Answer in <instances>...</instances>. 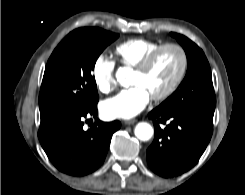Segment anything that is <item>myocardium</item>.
Here are the masks:
<instances>
[{
    "mask_svg": "<svg viewBox=\"0 0 245 195\" xmlns=\"http://www.w3.org/2000/svg\"><path fill=\"white\" fill-rule=\"evenodd\" d=\"M175 49L178 51L179 55H180V68L179 71L175 77V79L173 80V82L170 84V86L165 89L163 92L156 94L154 96H152L151 98L155 101H162L167 99L168 97H170L176 90L177 88L180 86L186 70H187V64H188V58H187V54L185 49L176 43H166V44H162L159 47H157L156 49H154L152 52H150L135 68L134 71L139 72V73H143L146 72L150 66L153 64V62L155 61V59L157 58V56L165 49Z\"/></svg>",
    "mask_w": 245,
    "mask_h": 195,
    "instance_id": "obj_1",
    "label": "myocardium"
}]
</instances>
